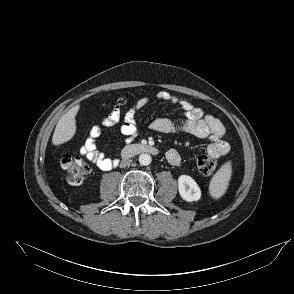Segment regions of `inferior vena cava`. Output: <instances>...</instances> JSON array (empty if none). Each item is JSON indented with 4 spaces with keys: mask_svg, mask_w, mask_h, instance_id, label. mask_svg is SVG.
<instances>
[{
    "mask_svg": "<svg viewBox=\"0 0 294 294\" xmlns=\"http://www.w3.org/2000/svg\"><path fill=\"white\" fill-rule=\"evenodd\" d=\"M130 162H131V160H124V161H122V163L120 164V167H125V166H127Z\"/></svg>",
    "mask_w": 294,
    "mask_h": 294,
    "instance_id": "inferior-vena-cava-1",
    "label": "inferior vena cava"
}]
</instances>
